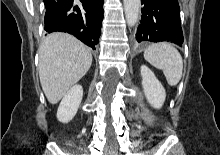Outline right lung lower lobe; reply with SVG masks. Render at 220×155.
Masks as SVG:
<instances>
[{
  "mask_svg": "<svg viewBox=\"0 0 220 155\" xmlns=\"http://www.w3.org/2000/svg\"><path fill=\"white\" fill-rule=\"evenodd\" d=\"M45 0V30L67 32L94 49L99 42L103 0Z\"/></svg>",
  "mask_w": 220,
  "mask_h": 155,
  "instance_id": "obj_1",
  "label": "right lung lower lobe"
}]
</instances>
